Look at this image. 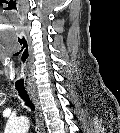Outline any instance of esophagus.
Here are the masks:
<instances>
[{"instance_id": "1", "label": "esophagus", "mask_w": 120, "mask_h": 133, "mask_svg": "<svg viewBox=\"0 0 120 133\" xmlns=\"http://www.w3.org/2000/svg\"><path fill=\"white\" fill-rule=\"evenodd\" d=\"M29 96L35 106V118H36V123L37 126L39 128L40 133H45V129H44V124H43V115H42V111H41V106H40V102H39V98L35 92V90H29Z\"/></svg>"}]
</instances>
